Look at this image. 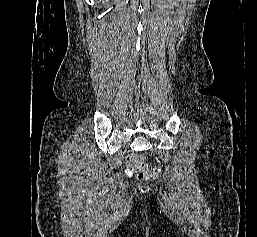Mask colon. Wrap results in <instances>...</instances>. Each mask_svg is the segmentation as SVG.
I'll list each match as a JSON object with an SVG mask.
<instances>
[{
    "label": "colon",
    "mask_w": 257,
    "mask_h": 237,
    "mask_svg": "<svg viewBox=\"0 0 257 237\" xmlns=\"http://www.w3.org/2000/svg\"><path fill=\"white\" fill-rule=\"evenodd\" d=\"M127 161L135 163V170L140 179H149L157 176L160 170L156 167H149L140 160L139 155L128 157Z\"/></svg>",
    "instance_id": "colon-1"
}]
</instances>
